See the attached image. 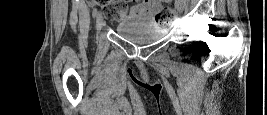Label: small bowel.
<instances>
[{
	"instance_id": "small-bowel-1",
	"label": "small bowel",
	"mask_w": 267,
	"mask_h": 115,
	"mask_svg": "<svg viewBox=\"0 0 267 115\" xmlns=\"http://www.w3.org/2000/svg\"><path fill=\"white\" fill-rule=\"evenodd\" d=\"M164 0H144L135 4L130 12L129 17L139 20H153L157 9Z\"/></svg>"
}]
</instances>
